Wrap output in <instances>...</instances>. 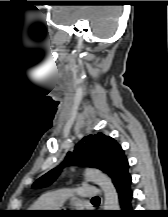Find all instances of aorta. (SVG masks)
<instances>
[{"mask_svg": "<svg viewBox=\"0 0 168 217\" xmlns=\"http://www.w3.org/2000/svg\"><path fill=\"white\" fill-rule=\"evenodd\" d=\"M86 177L91 182L100 186L104 193V210H119V198L111 179L97 169H89Z\"/></svg>", "mask_w": 168, "mask_h": 217, "instance_id": "1", "label": "aorta"}]
</instances>
